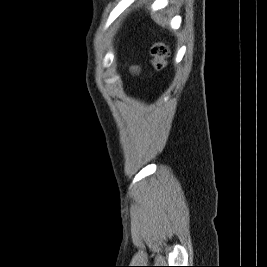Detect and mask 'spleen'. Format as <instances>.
Wrapping results in <instances>:
<instances>
[{
    "label": "spleen",
    "mask_w": 267,
    "mask_h": 267,
    "mask_svg": "<svg viewBox=\"0 0 267 267\" xmlns=\"http://www.w3.org/2000/svg\"><path fill=\"white\" fill-rule=\"evenodd\" d=\"M152 18L162 27H165L168 24L167 19L160 14H154L152 15Z\"/></svg>",
    "instance_id": "3e777b00"
}]
</instances>
